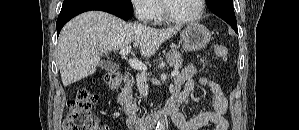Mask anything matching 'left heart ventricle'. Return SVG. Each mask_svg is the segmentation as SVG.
Instances as JSON below:
<instances>
[{"label":"left heart ventricle","instance_id":"b2bd125f","mask_svg":"<svg viewBox=\"0 0 299 130\" xmlns=\"http://www.w3.org/2000/svg\"><path fill=\"white\" fill-rule=\"evenodd\" d=\"M168 9L171 15L176 17H189L198 10L197 0H171L168 3Z\"/></svg>","mask_w":299,"mask_h":130}]
</instances>
